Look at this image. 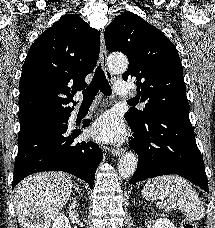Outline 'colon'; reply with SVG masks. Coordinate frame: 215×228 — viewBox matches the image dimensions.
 Returning <instances> with one entry per match:
<instances>
[{"label": "colon", "instance_id": "obj_1", "mask_svg": "<svg viewBox=\"0 0 215 228\" xmlns=\"http://www.w3.org/2000/svg\"><path fill=\"white\" fill-rule=\"evenodd\" d=\"M183 228H196V223L192 221H185Z\"/></svg>", "mask_w": 215, "mask_h": 228}]
</instances>
